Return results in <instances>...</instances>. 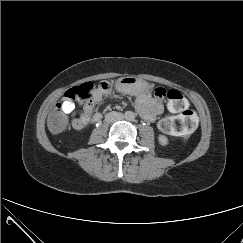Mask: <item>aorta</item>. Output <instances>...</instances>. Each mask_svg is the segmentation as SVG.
Masks as SVG:
<instances>
[{
    "label": "aorta",
    "mask_w": 243,
    "mask_h": 243,
    "mask_svg": "<svg viewBox=\"0 0 243 243\" xmlns=\"http://www.w3.org/2000/svg\"><path fill=\"white\" fill-rule=\"evenodd\" d=\"M135 118V114L133 112L126 113V119L133 120Z\"/></svg>",
    "instance_id": "762f6f07"
}]
</instances>
